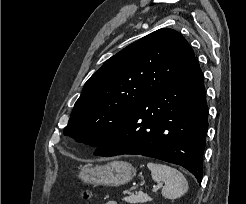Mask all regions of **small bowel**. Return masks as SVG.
Returning a JSON list of instances; mask_svg holds the SVG:
<instances>
[{
  "label": "small bowel",
  "mask_w": 246,
  "mask_h": 204,
  "mask_svg": "<svg viewBox=\"0 0 246 204\" xmlns=\"http://www.w3.org/2000/svg\"><path fill=\"white\" fill-rule=\"evenodd\" d=\"M105 204H117V202H115V201H108Z\"/></svg>",
  "instance_id": "small-bowel-1"
}]
</instances>
